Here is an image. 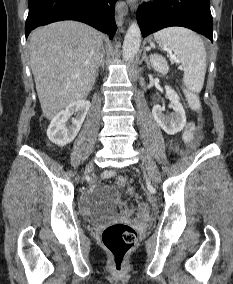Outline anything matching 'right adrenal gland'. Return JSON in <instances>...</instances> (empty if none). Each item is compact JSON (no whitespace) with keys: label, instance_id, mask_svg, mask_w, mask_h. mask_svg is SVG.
<instances>
[{"label":"right adrenal gland","instance_id":"1","mask_svg":"<svg viewBox=\"0 0 233 284\" xmlns=\"http://www.w3.org/2000/svg\"><path fill=\"white\" fill-rule=\"evenodd\" d=\"M104 58H105V51L103 50L101 53L100 59L98 61L97 68H96V77L98 76L99 68L101 66H104Z\"/></svg>","mask_w":233,"mask_h":284}]
</instances>
